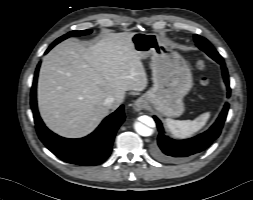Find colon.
Wrapping results in <instances>:
<instances>
[{"instance_id":"1","label":"colon","mask_w":253,"mask_h":200,"mask_svg":"<svg viewBox=\"0 0 253 200\" xmlns=\"http://www.w3.org/2000/svg\"><path fill=\"white\" fill-rule=\"evenodd\" d=\"M197 67H198L200 70L204 69V67H205L204 62L201 61V60L198 61ZM200 83H201L202 86H207V85L209 84V80H208L207 78H202L201 81H200Z\"/></svg>"}]
</instances>
